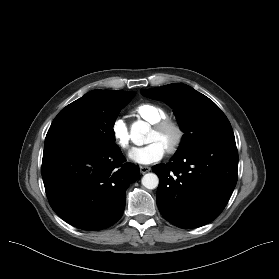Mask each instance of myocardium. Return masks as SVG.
<instances>
[{
  "instance_id": "myocardium-1",
  "label": "myocardium",
  "mask_w": 279,
  "mask_h": 279,
  "mask_svg": "<svg viewBox=\"0 0 279 279\" xmlns=\"http://www.w3.org/2000/svg\"><path fill=\"white\" fill-rule=\"evenodd\" d=\"M152 129L156 132H163L166 130L173 131L174 138L165 149L169 154H173L178 151L184 139V130L179 122L166 117L153 123Z\"/></svg>"
}]
</instances>
